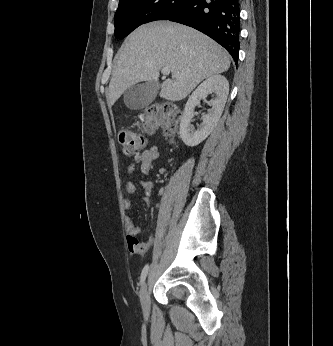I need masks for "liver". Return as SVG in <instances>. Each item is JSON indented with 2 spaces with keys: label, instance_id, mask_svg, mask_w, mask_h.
Instances as JSON below:
<instances>
[{
  "label": "liver",
  "instance_id": "obj_1",
  "mask_svg": "<svg viewBox=\"0 0 333 346\" xmlns=\"http://www.w3.org/2000/svg\"><path fill=\"white\" fill-rule=\"evenodd\" d=\"M164 67L170 69L172 78L160 85V97L180 101L205 78L227 71L230 56L191 27L171 22L142 25L127 37L115 57L108 105L139 82H157Z\"/></svg>",
  "mask_w": 333,
  "mask_h": 346
}]
</instances>
